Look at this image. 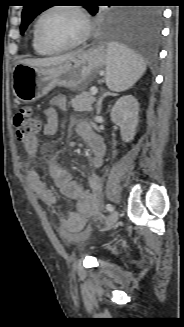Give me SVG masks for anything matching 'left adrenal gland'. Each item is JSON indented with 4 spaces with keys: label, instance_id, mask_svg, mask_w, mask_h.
I'll list each match as a JSON object with an SVG mask.
<instances>
[{
    "label": "left adrenal gland",
    "instance_id": "left-adrenal-gland-1",
    "mask_svg": "<svg viewBox=\"0 0 184 327\" xmlns=\"http://www.w3.org/2000/svg\"><path fill=\"white\" fill-rule=\"evenodd\" d=\"M108 95H113V94H111V93H104V94L99 98V100H98V102H97V114H100V112H101V107H102V101H103V99H104L106 96H108Z\"/></svg>",
    "mask_w": 184,
    "mask_h": 327
}]
</instances>
